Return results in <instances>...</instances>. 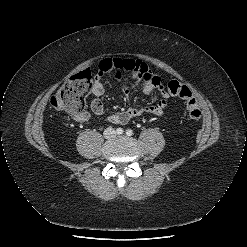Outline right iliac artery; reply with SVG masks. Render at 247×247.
<instances>
[{"instance_id": "right-iliac-artery-1", "label": "right iliac artery", "mask_w": 247, "mask_h": 247, "mask_svg": "<svg viewBox=\"0 0 247 247\" xmlns=\"http://www.w3.org/2000/svg\"><path fill=\"white\" fill-rule=\"evenodd\" d=\"M123 132H124V130L122 128H117L116 129V133L119 134V135L123 134Z\"/></svg>"}]
</instances>
